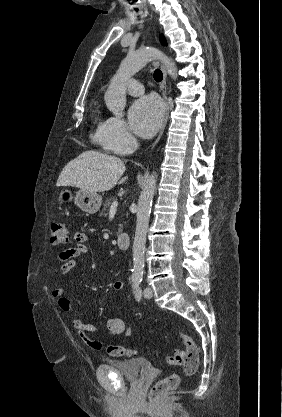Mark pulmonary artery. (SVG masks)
Segmentation results:
<instances>
[{
    "label": "pulmonary artery",
    "instance_id": "obj_1",
    "mask_svg": "<svg viewBox=\"0 0 282 417\" xmlns=\"http://www.w3.org/2000/svg\"><path fill=\"white\" fill-rule=\"evenodd\" d=\"M126 89L131 95L134 96L140 95L144 91L142 83L136 79H129L126 82Z\"/></svg>",
    "mask_w": 282,
    "mask_h": 417
}]
</instances>
